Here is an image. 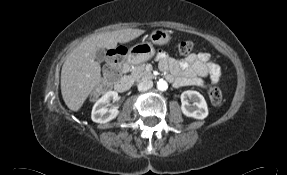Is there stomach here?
<instances>
[{
	"label": "stomach",
	"instance_id": "0dacf381",
	"mask_svg": "<svg viewBox=\"0 0 287 175\" xmlns=\"http://www.w3.org/2000/svg\"><path fill=\"white\" fill-rule=\"evenodd\" d=\"M150 42H142L132 46L127 54V61L130 64H139L151 59L155 50L153 44L164 45L169 42L170 34L168 30L156 29L149 36Z\"/></svg>",
	"mask_w": 287,
	"mask_h": 175
}]
</instances>
